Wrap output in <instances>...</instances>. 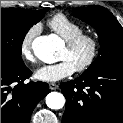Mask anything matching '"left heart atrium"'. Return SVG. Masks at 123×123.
<instances>
[{"mask_svg": "<svg viewBox=\"0 0 123 123\" xmlns=\"http://www.w3.org/2000/svg\"><path fill=\"white\" fill-rule=\"evenodd\" d=\"M74 71L73 64L63 59L58 63L42 66L36 71L35 77L44 82H56L72 75Z\"/></svg>", "mask_w": 123, "mask_h": 123, "instance_id": "1", "label": "left heart atrium"}]
</instances>
